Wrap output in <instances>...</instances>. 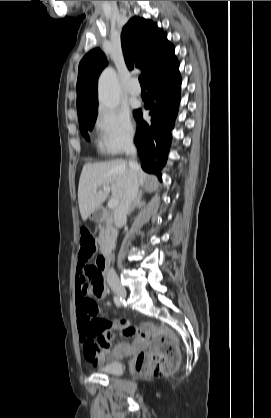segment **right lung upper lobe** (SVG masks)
I'll use <instances>...</instances> for the list:
<instances>
[{"mask_svg":"<svg viewBox=\"0 0 271 418\" xmlns=\"http://www.w3.org/2000/svg\"><path fill=\"white\" fill-rule=\"evenodd\" d=\"M122 49L129 69L140 68L145 81L176 60L174 46L157 24L137 16L131 18L121 34ZM107 60L98 48L87 53L79 64L77 79L78 116L98 107L97 80Z\"/></svg>","mask_w":271,"mask_h":418,"instance_id":"obj_1","label":"right lung upper lobe"}]
</instances>
